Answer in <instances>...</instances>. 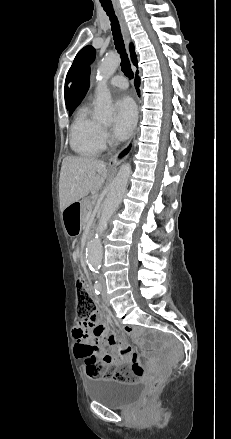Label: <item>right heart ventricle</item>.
Returning <instances> with one entry per match:
<instances>
[{
	"label": "right heart ventricle",
	"instance_id": "1",
	"mask_svg": "<svg viewBox=\"0 0 231 439\" xmlns=\"http://www.w3.org/2000/svg\"><path fill=\"white\" fill-rule=\"evenodd\" d=\"M100 130L99 123L91 117L88 108L81 106L70 128V147L73 152L85 158L99 155L103 149Z\"/></svg>",
	"mask_w": 231,
	"mask_h": 439
}]
</instances>
